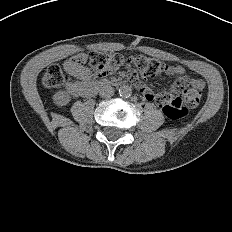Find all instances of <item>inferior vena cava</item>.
Wrapping results in <instances>:
<instances>
[{
	"label": "inferior vena cava",
	"mask_w": 232,
	"mask_h": 232,
	"mask_svg": "<svg viewBox=\"0 0 232 232\" xmlns=\"http://www.w3.org/2000/svg\"><path fill=\"white\" fill-rule=\"evenodd\" d=\"M99 95L105 99L111 98L114 95V89L111 86H103L100 89Z\"/></svg>",
	"instance_id": "inferior-vena-cava-1"
}]
</instances>
